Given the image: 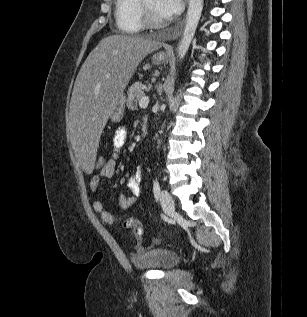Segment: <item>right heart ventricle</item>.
<instances>
[{"label":"right heart ventricle","instance_id":"1","mask_svg":"<svg viewBox=\"0 0 307 317\" xmlns=\"http://www.w3.org/2000/svg\"><path fill=\"white\" fill-rule=\"evenodd\" d=\"M115 21L122 33L134 34L144 28L139 0H115Z\"/></svg>","mask_w":307,"mask_h":317}]
</instances>
